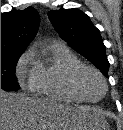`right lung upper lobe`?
I'll return each instance as SVG.
<instances>
[{"label":"right lung upper lobe","mask_w":123,"mask_h":130,"mask_svg":"<svg viewBox=\"0 0 123 130\" xmlns=\"http://www.w3.org/2000/svg\"><path fill=\"white\" fill-rule=\"evenodd\" d=\"M40 18L33 7L1 14V55L23 53L34 38Z\"/></svg>","instance_id":"obj_1"}]
</instances>
